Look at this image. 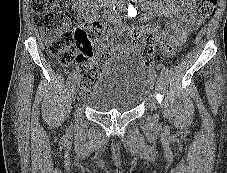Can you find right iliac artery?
I'll return each mask as SVG.
<instances>
[{"mask_svg": "<svg viewBox=\"0 0 227 173\" xmlns=\"http://www.w3.org/2000/svg\"><path fill=\"white\" fill-rule=\"evenodd\" d=\"M75 78H76V73L72 72L67 78V84L71 85Z\"/></svg>", "mask_w": 227, "mask_h": 173, "instance_id": "1", "label": "right iliac artery"}]
</instances>
